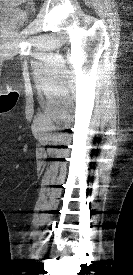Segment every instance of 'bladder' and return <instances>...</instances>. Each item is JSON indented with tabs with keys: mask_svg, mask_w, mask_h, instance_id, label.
I'll list each match as a JSON object with an SVG mask.
<instances>
[{
	"mask_svg": "<svg viewBox=\"0 0 133 275\" xmlns=\"http://www.w3.org/2000/svg\"><path fill=\"white\" fill-rule=\"evenodd\" d=\"M18 0H0V23L9 28H15L23 24L29 17L27 11L16 7Z\"/></svg>",
	"mask_w": 133,
	"mask_h": 275,
	"instance_id": "obj_1",
	"label": "bladder"
}]
</instances>
